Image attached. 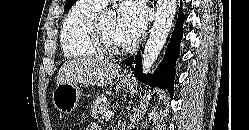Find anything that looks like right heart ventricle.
Returning a JSON list of instances; mask_svg holds the SVG:
<instances>
[{
	"label": "right heart ventricle",
	"mask_w": 249,
	"mask_h": 130,
	"mask_svg": "<svg viewBox=\"0 0 249 130\" xmlns=\"http://www.w3.org/2000/svg\"><path fill=\"white\" fill-rule=\"evenodd\" d=\"M101 8L91 0H78L70 9L60 31V44L65 57L100 55L90 39V26Z\"/></svg>",
	"instance_id": "obj_1"
}]
</instances>
